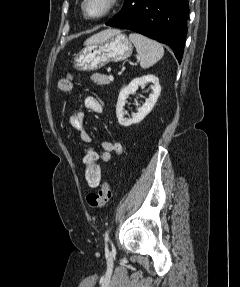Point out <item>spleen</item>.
<instances>
[{"instance_id": "obj_1", "label": "spleen", "mask_w": 240, "mask_h": 287, "mask_svg": "<svg viewBox=\"0 0 240 287\" xmlns=\"http://www.w3.org/2000/svg\"><path fill=\"white\" fill-rule=\"evenodd\" d=\"M130 41L136 47L137 53L140 55V66L147 69L157 63L164 55L163 46L148 37L139 33H131Z\"/></svg>"}]
</instances>
